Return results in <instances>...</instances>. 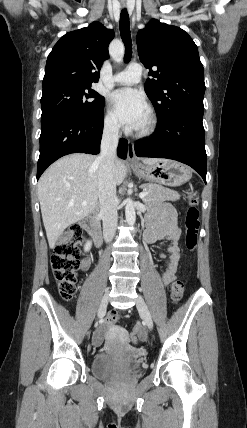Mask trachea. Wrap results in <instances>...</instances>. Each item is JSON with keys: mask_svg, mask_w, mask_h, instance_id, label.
Returning a JSON list of instances; mask_svg holds the SVG:
<instances>
[{"mask_svg": "<svg viewBox=\"0 0 247 428\" xmlns=\"http://www.w3.org/2000/svg\"><path fill=\"white\" fill-rule=\"evenodd\" d=\"M120 35L125 46L124 61L127 62L132 56V40L130 35V22L127 9L121 10L120 14Z\"/></svg>", "mask_w": 247, "mask_h": 428, "instance_id": "trachea-1", "label": "trachea"}]
</instances>
